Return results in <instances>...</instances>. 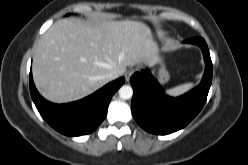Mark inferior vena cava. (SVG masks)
<instances>
[{
	"instance_id": "inferior-vena-cava-1",
	"label": "inferior vena cava",
	"mask_w": 248,
	"mask_h": 165,
	"mask_svg": "<svg viewBox=\"0 0 248 165\" xmlns=\"http://www.w3.org/2000/svg\"><path fill=\"white\" fill-rule=\"evenodd\" d=\"M122 73L119 70H112L108 75L107 78L109 80H114L116 78H118L119 76H121Z\"/></svg>"
}]
</instances>
